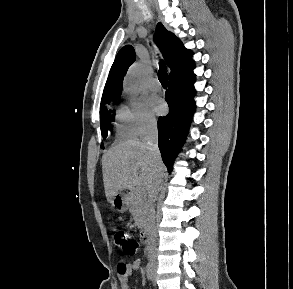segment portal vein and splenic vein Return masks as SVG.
<instances>
[{"mask_svg":"<svg viewBox=\"0 0 293 289\" xmlns=\"http://www.w3.org/2000/svg\"><path fill=\"white\" fill-rule=\"evenodd\" d=\"M134 191L139 194L143 193V190L140 186L135 187Z\"/></svg>","mask_w":293,"mask_h":289,"instance_id":"obj_1","label":"portal vein and splenic vein"}]
</instances>
